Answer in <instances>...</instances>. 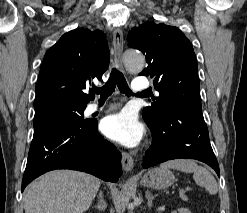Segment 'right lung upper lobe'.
<instances>
[{"mask_svg": "<svg viewBox=\"0 0 247 213\" xmlns=\"http://www.w3.org/2000/svg\"><path fill=\"white\" fill-rule=\"evenodd\" d=\"M108 66V43L103 32L75 29L65 33L44 57L34 108L55 100L87 104L94 94H87L86 89L92 79H101Z\"/></svg>", "mask_w": 247, "mask_h": 213, "instance_id": "1", "label": "right lung upper lobe"}]
</instances>
